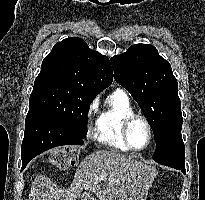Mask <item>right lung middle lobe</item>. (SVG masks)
Listing matches in <instances>:
<instances>
[{
	"label": "right lung middle lobe",
	"instance_id": "dd1d6c3e",
	"mask_svg": "<svg viewBox=\"0 0 205 200\" xmlns=\"http://www.w3.org/2000/svg\"><path fill=\"white\" fill-rule=\"evenodd\" d=\"M95 96L92 92L65 81L35 80L29 110L36 109L50 115L84 139L88 110Z\"/></svg>",
	"mask_w": 205,
	"mask_h": 200
}]
</instances>
